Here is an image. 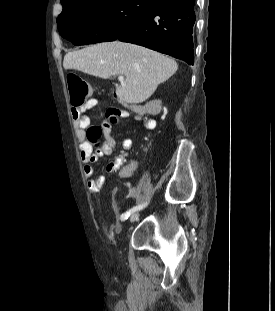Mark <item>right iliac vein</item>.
Instances as JSON below:
<instances>
[{
	"mask_svg": "<svg viewBox=\"0 0 275 311\" xmlns=\"http://www.w3.org/2000/svg\"><path fill=\"white\" fill-rule=\"evenodd\" d=\"M138 217H139V212L133 213V214L131 215V217H130V222H131V223H132V222H135V221L138 219Z\"/></svg>",
	"mask_w": 275,
	"mask_h": 311,
	"instance_id": "obj_1",
	"label": "right iliac vein"
}]
</instances>
